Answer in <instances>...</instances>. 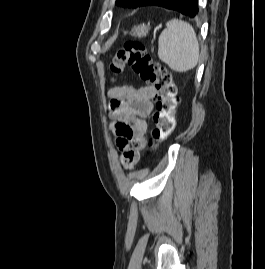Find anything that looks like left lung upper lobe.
I'll list each match as a JSON object with an SVG mask.
<instances>
[{
	"label": "left lung upper lobe",
	"mask_w": 265,
	"mask_h": 269,
	"mask_svg": "<svg viewBox=\"0 0 265 269\" xmlns=\"http://www.w3.org/2000/svg\"><path fill=\"white\" fill-rule=\"evenodd\" d=\"M144 0H116V5L128 7V8H136L138 7Z\"/></svg>",
	"instance_id": "left-lung-upper-lobe-1"
}]
</instances>
